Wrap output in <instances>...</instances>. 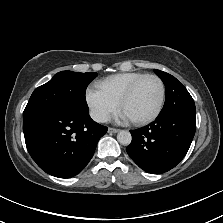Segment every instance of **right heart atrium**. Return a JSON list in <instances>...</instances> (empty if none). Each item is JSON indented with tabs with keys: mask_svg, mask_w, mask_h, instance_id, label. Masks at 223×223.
I'll use <instances>...</instances> for the list:
<instances>
[{
	"mask_svg": "<svg viewBox=\"0 0 223 223\" xmlns=\"http://www.w3.org/2000/svg\"><path fill=\"white\" fill-rule=\"evenodd\" d=\"M85 100L91 117L97 122H105L119 107V100L113 98L100 82L86 88Z\"/></svg>",
	"mask_w": 223,
	"mask_h": 223,
	"instance_id": "right-heart-atrium-1",
	"label": "right heart atrium"
}]
</instances>
